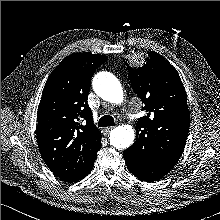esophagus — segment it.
<instances>
[{"label":"esophagus","mask_w":220,"mask_h":220,"mask_svg":"<svg viewBox=\"0 0 220 220\" xmlns=\"http://www.w3.org/2000/svg\"><path fill=\"white\" fill-rule=\"evenodd\" d=\"M113 128H114L113 126L107 127V128L104 129V132H105V133H108V132H110Z\"/></svg>","instance_id":"34e87169"}]
</instances>
